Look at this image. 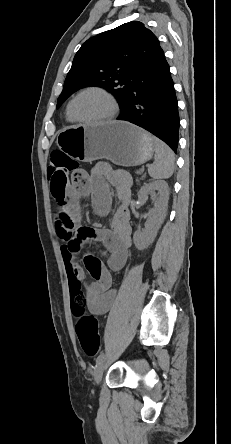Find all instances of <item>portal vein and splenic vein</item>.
Returning <instances> with one entry per match:
<instances>
[{
	"label": "portal vein and splenic vein",
	"mask_w": 231,
	"mask_h": 444,
	"mask_svg": "<svg viewBox=\"0 0 231 444\" xmlns=\"http://www.w3.org/2000/svg\"><path fill=\"white\" fill-rule=\"evenodd\" d=\"M144 171V169H141V172H143Z\"/></svg>",
	"instance_id": "portal-vein-and-splenic-vein-1"
}]
</instances>
